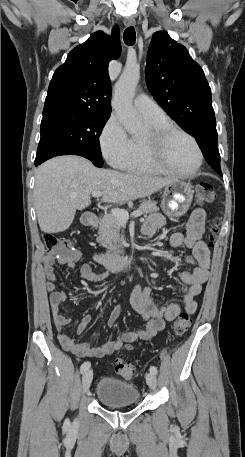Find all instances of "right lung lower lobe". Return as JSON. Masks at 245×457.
<instances>
[{
	"label": "right lung lower lobe",
	"mask_w": 245,
	"mask_h": 457,
	"mask_svg": "<svg viewBox=\"0 0 245 457\" xmlns=\"http://www.w3.org/2000/svg\"><path fill=\"white\" fill-rule=\"evenodd\" d=\"M39 164L35 163V166H38Z\"/></svg>",
	"instance_id": "98d812e1"
}]
</instances>
